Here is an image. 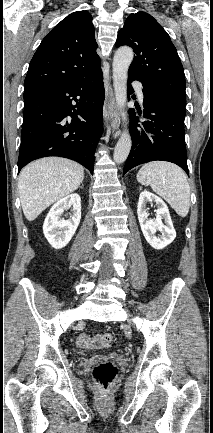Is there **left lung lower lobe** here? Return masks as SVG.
<instances>
[{
	"label": "left lung lower lobe",
	"mask_w": 213,
	"mask_h": 433,
	"mask_svg": "<svg viewBox=\"0 0 213 433\" xmlns=\"http://www.w3.org/2000/svg\"><path fill=\"white\" fill-rule=\"evenodd\" d=\"M134 80L138 79L128 74V94L134 92L130 84ZM143 95L144 109H137V112L146 120L139 124L134 109L131 110L129 130L132 148L123 175L137 165L156 160L175 163L189 175L184 139L185 107L153 95L145 88Z\"/></svg>",
	"instance_id": "1"
}]
</instances>
